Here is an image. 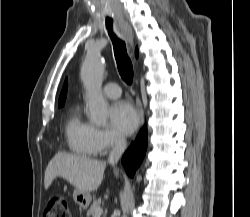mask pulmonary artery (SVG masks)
<instances>
[{"label": "pulmonary artery", "mask_w": 250, "mask_h": 217, "mask_svg": "<svg viewBox=\"0 0 250 217\" xmlns=\"http://www.w3.org/2000/svg\"><path fill=\"white\" fill-rule=\"evenodd\" d=\"M103 94L110 99H117L121 96V89L116 83H107L103 88Z\"/></svg>", "instance_id": "1"}]
</instances>
